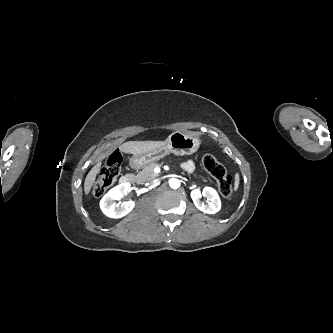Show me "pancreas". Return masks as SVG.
Instances as JSON below:
<instances>
[{
  "label": "pancreas",
  "mask_w": 333,
  "mask_h": 333,
  "mask_svg": "<svg viewBox=\"0 0 333 333\" xmlns=\"http://www.w3.org/2000/svg\"><path fill=\"white\" fill-rule=\"evenodd\" d=\"M159 166L160 164L157 161H154L143 167V169L140 172H138V174L136 175L137 182L146 183L155 179L158 176V174L154 172V168Z\"/></svg>",
  "instance_id": "pancreas-1"
}]
</instances>
